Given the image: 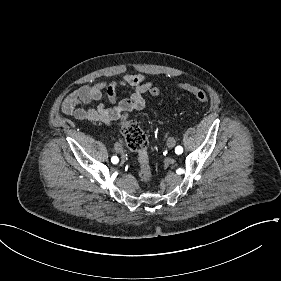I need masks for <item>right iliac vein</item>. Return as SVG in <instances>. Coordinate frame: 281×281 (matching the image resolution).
I'll list each match as a JSON object with an SVG mask.
<instances>
[{"mask_svg":"<svg viewBox=\"0 0 281 281\" xmlns=\"http://www.w3.org/2000/svg\"><path fill=\"white\" fill-rule=\"evenodd\" d=\"M114 147H115L116 152H118V153L123 152V147L120 143H116Z\"/></svg>","mask_w":281,"mask_h":281,"instance_id":"obj_1","label":"right iliac vein"}]
</instances>
